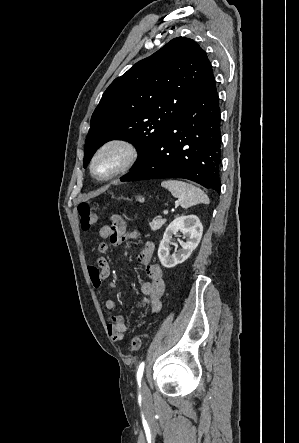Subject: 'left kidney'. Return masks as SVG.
Listing matches in <instances>:
<instances>
[{
	"label": "left kidney",
	"instance_id": "5707ae66",
	"mask_svg": "<svg viewBox=\"0 0 299 443\" xmlns=\"http://www.w3.org/2000/svg\"><path fill=\"white\" fill-rule=\"evenodd\" d=\"M181 231L187 237L186 242H180L181 249L170 254L172 235ZM203 226L196 215L180 216L175 218L166 228L163 239L158 248V257L166 268H172L187 260L200 243ZM177 248V245H175Z\"/></svg>",
	"mask_w": 299,
	"mask_h": 443
}]
</instances>
